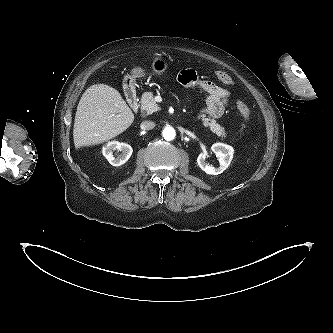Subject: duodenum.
Returning a JSON list of instances; mask_svg holds the SVG:
<instances>
[{"label":"duodenum","mask_w":333,"mask_h":333,"mask_svg":"<svg viewBox=\"0 0 333 333\" xmlns=\"http://www.w3.org/2000/svg\"><path fill=\"white\" fill-rule=\"evenodd\" d=\"M125 94H126V97H127V100H128V103H129L131 109L134 112H137L138 107H139L138 97H137L135 85L132 81H127L125 83Z\"/></svg>","instance_id":"obj_1"}]
</instances>
